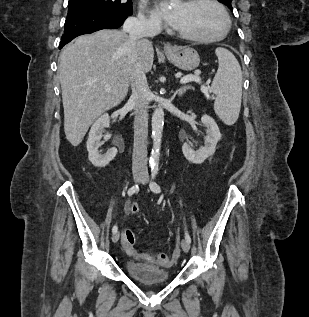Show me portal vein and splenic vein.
<instances>
[{"mask_svg":"<svg viewBox=\"0 0 309 317\" xmlns=\"http://www.w3.org/2000/svg\"><path fill=\"white\" fill-rule=\"evenodd\" d=\"M200 73H201V72H200L199 70H197L195 75H187V76L181 78L180 83L185 84V83L194 81V82H196V83L201 84V78L199 77V74H200ZM201 90H202L204 93H207V92H208V88L205 87V86H202V87H201ZM106 91H109V88H106Z\"/></svg>","mask_w":309,"mask_h":317,"instance_id":"18ae733b","label":"portal vein and splenic vein"}]
</instances>
